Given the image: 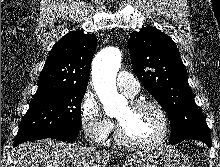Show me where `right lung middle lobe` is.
Listing matches in <instances>:
<instances>
[{
  "label": "right lung middle lobe",
  "mask_w": 220,
  "mask_h": 167,
  "mask_svg": "<svg viewBox=\"0 0 220 167\" xmlns=\"http://www.w3.org/2000/svg\"><path fill=\"white\" fill-rule=\"evenodd\" d=\"M84 88H65L53 94L32 99L24 115L15 143L41 135H55L79 131L81 128V102Z\"/></svg>",
  "instance_id": "dd1d6c3e"
}]
</instances>
